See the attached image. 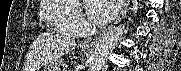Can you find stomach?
I'll use <instances>...</instances> for the list:
<instances>
[{"instance_id": "obj_1", "label": "stomach", "mask_w": 181, "mask_h": 71, "mask_svg": "<svg viewBox=\"0 0 181 71\" xmlns=\"http://www.w3.org/2000/svg\"><path fill=\"white\" fill-rule=\"evenodd\" d=\"M84 51H88V49L84 48ZM66 68L58 63H55L46 68L44 71H66Z\"/></svg>"}]
</instances>
